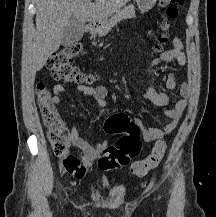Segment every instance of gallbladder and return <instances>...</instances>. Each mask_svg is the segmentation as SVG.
<instances>
[{"label":"gallbladder","mask_w":216,"mask_h":217,"mask_svg":"<svg viewBox=\"0 0 216 217\" xmlns=\"http://www.w3.org/2000/svg\"><path fill=\"white\" fill-rule=\"evenodd\" d=\"M83 28V24L80 21L70 16L62 34L61 44L69 46L80 41L83 37Z\"/></svg>","instance_id":"gallbladder-1"}]
</instances>
